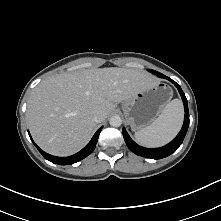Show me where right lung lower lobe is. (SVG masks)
Segmentation results:
<instances>
[{"label": "right lung lower lobe", "instance_id": "98d812e1", "mask_svg": "<svg viewBox=\"0 0 221 221\" xmlns=\"http://www.w3.org/2000/svg\"><path fill=\"white\" fill-rule=\"evenodd\" d=\"M103 127H100L96 133L94 134V136L92 137L91 141L81 150L79 151L78 153L72 155V156H69V157H56V156H52L50 154H47L46 152H44L43 150H41L32 140L30 134V138L33 142V144L36 146V148L39 150V152L42 154V156L52 162V163H55V164H59V165H69V164H74L76 162H79L80 160L86 158L88 155H90L93 150L95 149L96 147V143L98 141V137H99V134L101 132ZM29 133V132H28Z\"/></svg>", "mask_w": 221, "mask_h": 221}]
</instances>
